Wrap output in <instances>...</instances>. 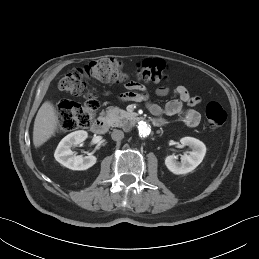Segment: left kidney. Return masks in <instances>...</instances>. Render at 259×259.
<instances>
[{
	"instance_id": "5707ae66",
	"label": "left kidney",
	"mask_w": 259,
	"mask_h": 259,
	"mask_svg": "<svg viewBox=\"0 0 259 259\" xmlns=\"http://www.w3.org/2000/svg\"><path fill=\"white\" fill-rule=\"evenodd\" d=\"M183 146H189L192 151L189 155H183L181 162L176 160L174 155L167 156L165 165L173 174L180 175L193 171L203 160L206 154L205 144L193 137H183L180 139Z\"/></svg>"
}]
</instances>
